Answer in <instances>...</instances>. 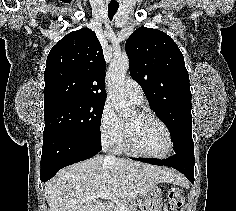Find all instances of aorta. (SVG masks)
<instances>
[{
  "label": "aorta",
  "mask_w": 236,
  "mask_h": 211,
  "mask_svg": "<svg viewBox=\"0 0 236 211\" xmlns=\"http://www.w3.org/2000/svg\"><path fill=\"white\" fill-rule=\"evenodd\" d=\"M129 68L127 56L114 58L108 72V94L120 114L127 113L131 109V102L125 96L124 78Z\"/></svg>",
  "instance_id": "aorta-1"
}]
</instances>
